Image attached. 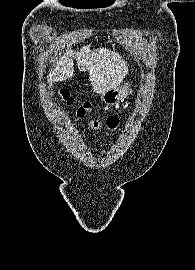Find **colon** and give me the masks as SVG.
Instances as JSON below:
<instances>
[{
	"mask_svg": "<svg viewBox=\"0 0 195 270\" xmlns=\"http://www.w3.org/2000/svg\"><path fill=\"white\" fill-rule=\"evenodd\" d=\"M59 100L67 105H71L73 103L72 97L69 95L67 91H60L58 94ZM91 110V104L89 102H84L83 104L77 107L76 113L79 117L85 116ZM119 125V118L115 115L108 116L105 120H92L89 122V127L93 130L107 129V130H115Z\"/></svg>",
	"mask_w": 195,
	"mask_h": 270,
	"instance_id": "1",
	"label": "colon"
}]
</instances>
